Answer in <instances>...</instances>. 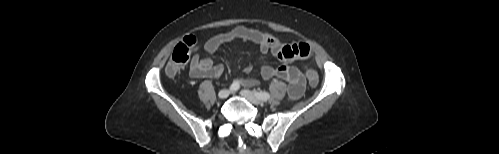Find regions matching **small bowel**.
Masks as SVG:
<instances>
[{
  "mask_svg": "<svg viewBox=\"0 0 499 154\" xmlns=\"http://www.w3.org/2000/svg\"><path fill=\"white\" fill-rule=\"evenodd\" d=\"M253 43L258 46L262 54L271 52L279 61L278 67L263 65L261 75L263 79L270 80L278 78L288 83V95L292 100L301 97L305 90L306 80L304 75L293 66L297 60L308 59L312 56L311 47L304 42L290 43L278 37L254 27L239 26L233 30L210 38L203 47L204 55H195L192 59L189 75L192 78H219L224 67L221 64H213L212 55L220 47L235 41ZM250 66L245 68L246 73H250ZM244 86L258 85L256 79H244L238 81Z\"/></svg>",
  "mask_w": 499,
  "mask_h": 154,
  "instance_id": "c3829d8e",
  "label": "small bowel"
}]
</instances>
